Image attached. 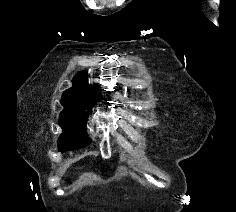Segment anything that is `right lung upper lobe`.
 <instances>
[{"mask_svg":"<svg viewBox=\"0 0 236 212\" xmlns=\"http://www.w3.org/2000/svg\"><path fill=\"white\" fill-rule=\"evenodd\" d=\"M94 94L95 89L88 84L87 73L81 71L73 78V87L63 93L61 104L69 110H91Z\"/></svg>","mask_w":236,"mask_h":212,"instance_id":"cb5924a9","label":"right lung upper lobe"}]
</instances>
